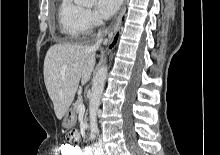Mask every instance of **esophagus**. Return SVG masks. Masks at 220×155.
I'll return each instance as SVG.
<instances>
[{
  "label": "esophagus",
  "instance_id": "esophagus-1",
  "mask_svg": "<svg viewBox=\"0 0 220 155\" xmlns=\"http://www.w3.org/2000/svg\"><path fill=\"white\" fill-rule=\"evenodd\" d=\"M124 11H125V4H123V6L121 8V11H120L119 16L117 18V21L114 24L113 28L110 30L109 34H108V38L104 41V45L110 44L113 41V39H114L118 29H119V26L121 24V19H122V16L124 14Z\"/></svg>",
  "mask_w": 220,
  "mask_h": 155
}]
</instances>
